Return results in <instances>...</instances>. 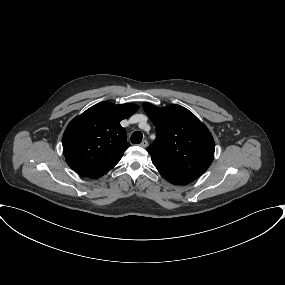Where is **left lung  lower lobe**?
<instances>
[{"label": "left lung lower lobe", "mask_w": 285, "mask_h": 285, "mask_svg": "<svg viewBox=\"0 0 285 285\" xmlns=\"http://www.w3.org/2000/svg\"><path fill=\"white\" fill-rule=\"evenodd\" d=\"M156 167V166H155ZM158 169V171L160 172V174L170 183L172 184H177V185H184V184H188L192 181H194L196 178L189 176V175H185L182 173H178L175 171H167L164 169H161L159 167H156Z\"/></svg>", "instance_id": "1"}]
</instances>
